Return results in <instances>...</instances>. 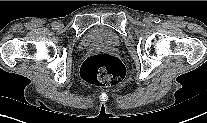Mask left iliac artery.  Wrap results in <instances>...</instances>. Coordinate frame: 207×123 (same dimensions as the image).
<instances>
[{
  "mask_svg": "<svg viewBox=\"0 0 207 123\" xmlns=\"http://www.w3.org/2000/svg\"><path fill=\"white\" fill-rule=\"evenodd\" d=\"M154 22H155V23H160V22H161V20H160V18L155 17V18H154Z\"/></svg>",
  "mask_w": 207,
  "mask_h": 123,
  "instance_id": "44dca946",
  "label": "left iliac artery"
}]
</instances>
